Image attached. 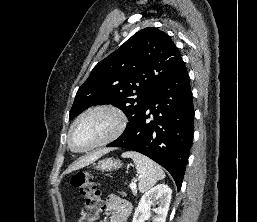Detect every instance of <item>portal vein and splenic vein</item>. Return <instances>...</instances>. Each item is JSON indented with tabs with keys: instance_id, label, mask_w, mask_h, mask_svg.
Here are the masks:
<instances>
[{
	"instance_id": "portal-vein-and-splenic-vein-1",
	"label": "portal vein and splenic vein",
	"mask_w": 257,
	"mask_h": 222,
	"mask_svg": "<svg viewBox=\"0 0 257 222\" xmlns=\"http://www.w3.org/2000/svg\"><path fill=\"white\" fill-rule=\"evenodd\" d=\"M130 188H131V189H135V188H136V183L132 182V183L130 184Z\"/></svg>"
}]
</instances>
